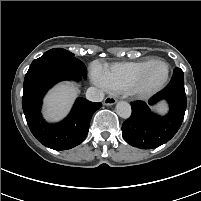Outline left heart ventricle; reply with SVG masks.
<instances>
[{
	"mask_svg": "<svg viewBox=\"0 0 201 201\" xmlns=\"http://www.w3.org/2000/svg\"><path fill=\"white\" fill-rule=\"evenodd\" d=\"M166 73V68L163 64L154 65L148 72L144 85L146 87H154L158 85L164 78Z\"/></svg>",
	"mask_w": 201,
	"mask_h": 201,
	"instance_id": "b2bd125f",
	"label": "left heart ventricle"
}]
</instances>
